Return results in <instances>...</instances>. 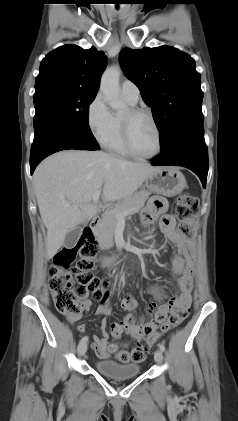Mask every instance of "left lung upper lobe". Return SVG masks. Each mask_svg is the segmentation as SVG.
I'll use <instances>...</instances> for the list:
<instances>
[{
	"label": "left lung upper lobe",
	"mask_w": 238,
	"mask_h": 421,
	"mask_svg": "<svg viewBox=\"0 0 238 421\" xmlns=\"http://www.w3.org/2000/svg\"><path fill=\"white\" fill-rule=\"evenodd\" d=\"M120 63L152 108L161 147L186 126L204 121L200 74L189 55L169 46L124 48Z\"/></svg>",
	"instance_id": "obj_1"
}]
</instances>
